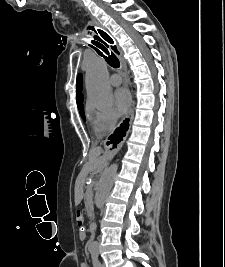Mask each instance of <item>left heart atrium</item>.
<instances>
[{
  "mask_svg": "<svg viewBox=\"0 0 225 267\" xmlns=\"http://www.w3.org/2000/svg\"><path fill=\"white\" fill-rule=\"evenodd\" d=\"M131 103V97L129 92L120 88L114 93V107L118 115H122L127 112Z\"/></svg>",
  "mask_w": 225,
  "mask_h": 267,
  "instance_id": "obj_1",
  "label": "left heart atrium"
}]
</instances>
